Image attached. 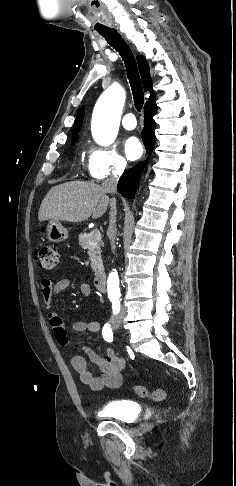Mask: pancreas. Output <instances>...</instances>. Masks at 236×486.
<instances>
[{
    "label": "pancreas",
    "mask_w": 236,
    "mask_h": 486,
    "mask_svg": "<svg viewBox=\"0 0 236 486\" xmlns=\"http://www.w3.org/2000/svg\"><path fill=\"white\" fill-rule=\"evenodd\" d=\"M79 245L87 250L88 256L90 257L91 267L95 275H99L104 268L101 259V247L103 242L101 240H96L92 233H82L79 235Z\"/></svg>",
    "instance_id": "pancreas-1"
}]
</instances>
